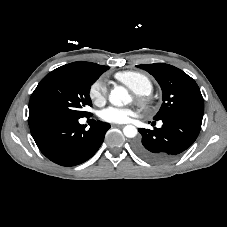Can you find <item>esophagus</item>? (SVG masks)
<instances>
[{
    "instance_id": "obj_1",
    "label": "esophagus",
    "mask_w": 227,
    "mask_h": 227,
    "mask_svg": "<svg viewBox=\"0 0 227 227\" xmlns=\"http://www.w3.org/2000/svg\"><path fill=\"white\" fill-rule=\"evenodd\" d=\"M112 126H113V127H119V128H121V127H123L124 125H122V124H113Z\"/></svg>"
}]
</instances>
